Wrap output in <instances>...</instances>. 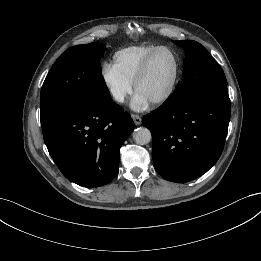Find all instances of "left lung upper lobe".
<instances>
[{"label":"left lung upper lobe","instance_id":"left-lung-upper-lobe-1","mask_svg":"<svg viewBox=\"0 0 261 261\" xmlns=\"http://www.w3.org/2000/svg\"><path fill=\"white\" fill-rule=\"evenodd\" d=\"M173 43L185 49L186 59L183 61L184 77L170 101L182 104L203 91L227 85L223 70L204 46L191 40Z\"/></svg>","mask_w":261,"mask_h":261}]
</instances>
